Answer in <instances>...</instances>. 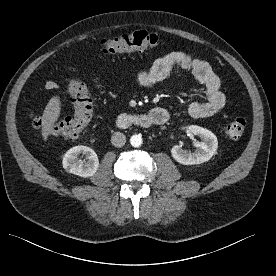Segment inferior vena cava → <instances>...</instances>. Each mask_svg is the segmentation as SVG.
<instances>
[{
  "label": "inferior vena cava",
  "instance_id": "1",
  "mask_svg": "<svg viewBox=\"0 0 276 276\" xmlns=\"http://www.w3.org/2000/svg\"><path fill=\"white\" fill-rule=\"evenodd\" d=\"M111 143L115 147H118V148L122 147L126 143V137L121 132H115V133H113V135L111 137Z\"/></svg>",
  "mask_w": 276,
  "mask_h": 276
}]
</instances>
